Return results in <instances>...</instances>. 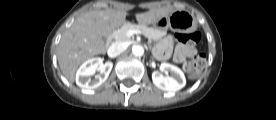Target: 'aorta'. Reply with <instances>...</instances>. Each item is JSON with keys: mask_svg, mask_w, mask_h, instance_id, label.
Segmentation results:
<instances>
[{"mask_svg": "<svg viewBox=\"0 0 276 120\" xmlns=\"http://www.w3.org/2000/svg\"><path fill=\"white\" fill-rule=\"evenodd\" d=\"M132 53L135 56L141 57L144 54V48L141 45H134L132 47Z\"/></svg>", "mask_w": 276, "mask_h": 120, "instance_id": "obj_1", "label": "aorta"}]
</instances>
